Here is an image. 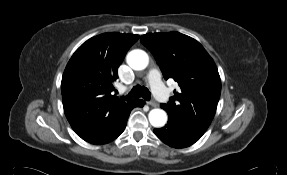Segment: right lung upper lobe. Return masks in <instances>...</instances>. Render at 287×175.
I'll return each mask as SVG.
<instances>
[{"instance_id":"1","label":"right lung upper lobe","mask_w":287,"mask_h":175,"mask_svg":"<svg viewBox=\"0 0 287 175\" xmlns=\"http://www.w3.org/2000/svg\"><path fill=\"white\" fill-rule=\"evenodd\" d=\"M138 35L104 33L72 55L61 82L65 115L76 134L90 142L112 129L137 101L112 94L117 69Z\"/></svg>"}]
</instances>
